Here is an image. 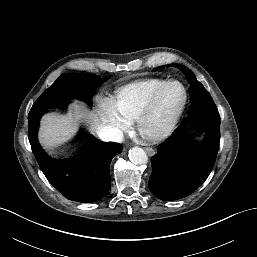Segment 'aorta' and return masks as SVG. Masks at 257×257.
Masks as SVG:
<instances>
[{
    "label": "aorta",
    "instance_id": "aorta-1",
    "mask_svg": "<svg viewBox=\"0 0 257 257\" xmlns=\"http://www.w3.org/2000/svg\"><path fill=\"white\" fill-rule=\"evenodd\" d=\"M128 156L134 164H144L148 160L147 154L140 147H133L130 149Z\"/></svg>",
    "mask_w": 257,
    "mask_h": 257
}]
</instances>
